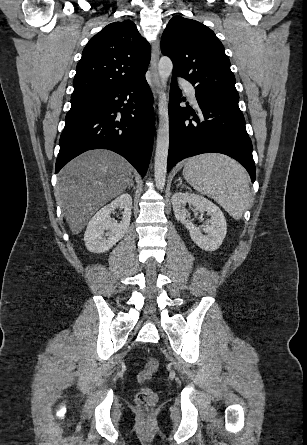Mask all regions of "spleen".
Segmentation results:
<instances>
[{
	"instance_id": "1",
	"label": "spleen",
	"mask_w": 307,
	"mask_h": 445,
	"mask_svg": "<svg viewBox=\"0 0 307 445\" xmlns=\"http://www.w3.org/2000/svg\"><path fill=\"white\" fill-rule=\"evenodd\" d=\"M183 176L195 190L214 198L235 220L250 206L247 172L230 156L218 152L192 156L185 162Z\"/></svg>"
}]
</instances>
